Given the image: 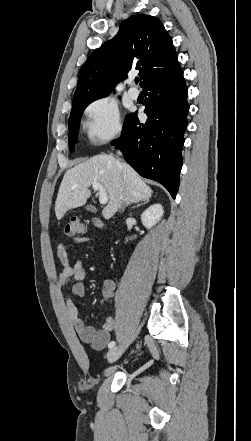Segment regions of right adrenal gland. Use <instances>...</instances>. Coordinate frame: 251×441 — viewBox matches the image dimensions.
Instances as JSON below:
<instances>
[{
  "mask_svg": "<svg viewBox=\"0 0 251 441\" xmlns=\"http://www.w3.org/2000/svg\"><path fill=\"white\" fill-rule=\"evenodd\" d=\"M148 202H149V200H146V201H144V202H142V203H139V204L133 206L132 209H134L135 207H139V206H141V205H145V204L148 203Z\"/></svg>",
  "mask_w": 251,
  "mask_h": 441,
  "instance_id": "2a0ac1e0",
  "label": "right adrenal gland"
}]
</instances>
